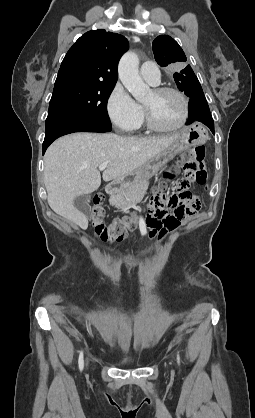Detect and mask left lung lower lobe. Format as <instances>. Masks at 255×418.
<instances>
[{"label":"left lung lower lobe","mask_w":255,"mask_h":418,"mask_svg":"<svg viewBox=\"0 0 255 418\" xmlns=\"http://www.w3.org/2000/svg\"><path fill=\"white\" fill-rule=\"evenodd\" d=\"M189 119L187 125L199 121L210 128L214 134V122L205 96L193 97L189 101Z\"/></svg>","instance_id":"left-lung-lower-lobe-1"}]
</instances>
